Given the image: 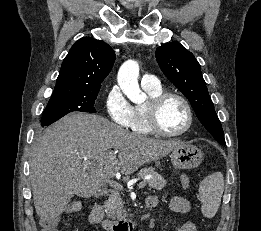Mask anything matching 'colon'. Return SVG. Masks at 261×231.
Here are the masks:
<instances>
[{
	"label": "colon",
	"instance_id": "5ec220e1",
	"mask_svg": "<svg viewBox=\"0 0 261 231\" xmlns=\"http://www.w3.org/2000/svg\"><path fill=\"white\" fill-rule=\"evenodd\" d=\"M182 185V180L180 178ZM81 210V204L79 202H72L66 208L62 209L61 214H77ZM40 231H58L56 227V219L48 218L40 221Z\"/></svg>",
	"mask_w": 261,
	"mask_h": 231
}]
</instances>
